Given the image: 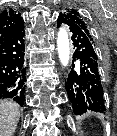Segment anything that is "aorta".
Returning <instances> with one entry per match:
<instances>
[{"label":"aorta","mask_w":117,"mask_h":136,"mask_svg":"<svg viewBox=\"0 0 117 136\" xmlns=\"http://www.w3.org/2000/svg\"><path fill=\"white\" fill-rule=\"evenodd\" d=\"M57 51L62 66H68L70 60V41L68 31L65 27H60L58 30Z\"/></svg>","instance_id":"1"}]
</instances>
